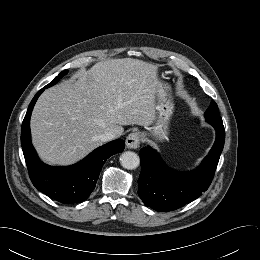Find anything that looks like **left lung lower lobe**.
<instances>
[{
	"label": "left lung lower lobe",
	"mask_w": 260,
	"mask_h": 260,
	"mask_svg": "<svg viewBox=\"0 0 260 260\" xmlns=\"http://www.w3.org/2000/svg\"><path fill=\"white\" fill-rule=\"evenodd\" d=\"M209 123L216 130V140L201 165L193 171L176 172L166 166L151 147L141 149L142 170L138 179V195L147 207L157 211H173L195 200L208 189L225 141L223 123Z\"/></svg>",
	"instance_id": "left-lung-lower-lobe-1"
}]
</instances>
